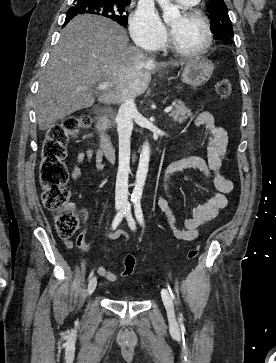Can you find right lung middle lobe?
Instances as JSON below:
<instances>
[{
    "label": "right lung middle lobe",
    "mask_w": 276,
    "mask_h": 363,
    "mask_svg": "<svg viewBox=\"0 0 276 363\" xmlns=\"http://www.w3.org/2000/svg\"><path fill=\"white\" fill-rule=\"evenodd\" d=\"M66 16L74 17L77 14H93L110 18L122 26L127 25L126 6L128 2L109 0H75Z\"/></svg>",
    "instance_id": "right-lung-middle-lobe-1"
}]
</instances>
